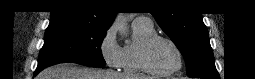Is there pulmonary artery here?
<instances>
[{
  "label": "pulmonary artery",
  "mask_w": 255,
  "mask_h": 79,
  "mask_svg": "<svg viewBox=\"0 0 255 79\" xmlns=\"http://www.w3.org/2000/svg\"><path fill=\"white\" fill-rule=\"evenodd\" d=\"M132 24H140L144 26H152V22L145 16H138L133 20Z\"/></svg>",
  "instance_id": "e3ab8cb5"
}]
</instances>
